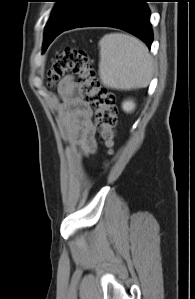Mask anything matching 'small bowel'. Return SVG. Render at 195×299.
Listing matches in <instances>:
<instances>
[{
	"label": "small bowel",
	"mask_w": 195,
	"mask_h": 299,
	"mask_svg": "<svg viewBox=\"0 0 195 299\" xmlns=\"http://www.w3.org/2000/svg\"><path fill=\"white\" fill-rule=\"evenodd\" d=\"M59 91L65 97L67 112L65 120L70 138L84 155L97 150L96 127L92 122V109L84 100L80 84L73 76H66L59 83Z\"/></svg>",
	"instance_id": "c3829d8e"
}]
</instances>
